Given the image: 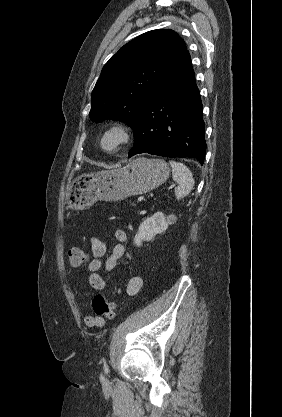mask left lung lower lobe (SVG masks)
Returning <instances> with one entry per match:
<instances>
[{
    "label": "left lung lower lobe",
    "mask_w": 282,
    "mask_h": 417,
    "mask_svg": "<svg viewBox=\"0 0 282 417\" xmlns=\"http://www.w3.org/2000/svg\"><path fill=\"white\" fill-rule=\"evenodd\" d=\"M202 108L186 50L139 109L129 157L141 153L190 157L202 165L206 153Z\"/></svg>",
    "instance_id": "1"
}]
</instances>
